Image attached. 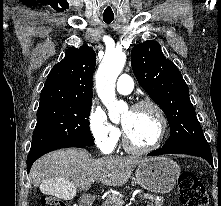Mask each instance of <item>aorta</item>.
<instances>
[{
  "mask_svg": "<svg viewBox=\"0 0 221 206\" xmlns=\"http://www.w3.org/2000/svg\"><path fill=\"white\" fill-rule=\"evenodd\" d=\"M126 62V55L122 51L106 53L96 73V89L98 96L108 109V116L112 121L120 118V113L126 109L123 101H117L115 83Z\"/></svg>",
  "mask_w": 221,
  "mask_h": 206,
  "instance_id": "762f6f07",
  "label": "aorta"
}]
</instances>
